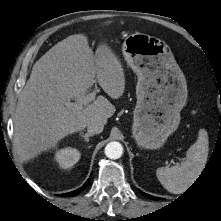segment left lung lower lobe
Masks as SVG:
<instances>
[{"mask_svg":"<svg viewBox=\"0 0 221 221\" xmlns=\"http://www.w3.org/2000/svg\"><path fill=\"white\" fill-rule=\"evenodd\" d=\"M142 194L144 195V196H146L147 198H150V199H153V200H159L160 198H158V197H154V196H151V195H147L146 193H144V192H142Z\"/></svg>","mask_w":221,"mask_h":221,"instance_id":"left-lung-lower-lobe-1","label":"left lung lower lobe"}]
</instances>
